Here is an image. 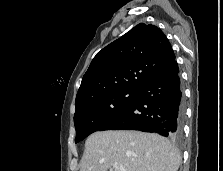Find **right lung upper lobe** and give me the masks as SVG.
Listing matches in <instances>:
<instances>
[{
	"label": "right lung upper lobe",
	"mask_w": 223,
	"mask_h": 171,
	"mask_svg": "<svg viewBox=\"0 0 223 171\" xmlns=\"http://www.w3.org/2000/svg\"><path fill=\"white\" fill-rule=\"evenodd\" d=\"M174 61L165 34L154 25L140 23L93 58L77 93L76 109L114 92H138Z\"/></svg>",
	"instance_id": "right-lung-upper-lobe-1"
}]
</instances>
